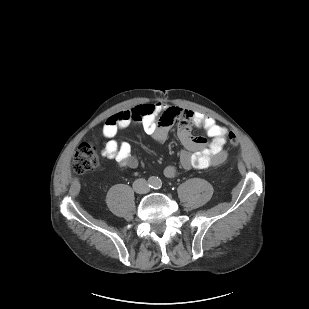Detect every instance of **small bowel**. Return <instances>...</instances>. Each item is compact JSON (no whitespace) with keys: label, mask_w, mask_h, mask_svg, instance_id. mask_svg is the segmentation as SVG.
<instances>
[{"label":"small bowel","mask_w":309,"mask_h":309,"mask_svg":"<svg viewBox=\"0 0 309 309\" xmlns=\"http://www.w3.org/2000/svg\"><path fill=\"white\" fill-rule=\"evenodd\" d=\"M132 124L141 125L158 143L164 142L171 128L176 126L178 139L183 146L180 152V165L184 170L216 167L227 158L224 146L228 131L212 117L187 108L171 106L165 102L141 103L111 116L104 124L105 140L101 153L120 166L128 168L138 166L131 145L115 138L118 130ZM193 128L203 129L210 139L209 142L202 137L194 136ZM164 175L173 178L176 175V168L167 166Z\"/></svg>","instance_id":"c3829d8e"}]
</instances>
